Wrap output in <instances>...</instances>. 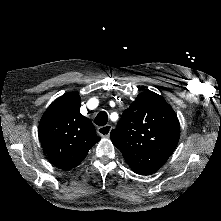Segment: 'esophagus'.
Returning a JSON list of instances; mask_svg holds the SVG:
<instances>
[{
  "label": "esophagus",
  "instance_id": "34e87169",
  "mask_svg": "<svg viewBox=\"0 0 221 221\" xmlns=\"http://www.w3.org/2000/svg\"><path fill=\"white\" fill-rule=\"evenodd\" d=\"M112 130V125H105L97 128V133L104 138H108L110 136V132Z\"/></svg>",
  "mask_w": 221,
  "mask_h": 221
}]
</instances>
